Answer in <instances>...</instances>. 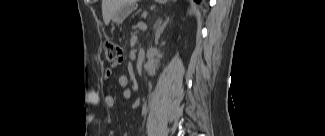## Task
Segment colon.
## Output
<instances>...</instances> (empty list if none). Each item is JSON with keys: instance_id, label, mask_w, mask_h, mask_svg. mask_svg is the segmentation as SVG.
<instances>
[{"instance_id": "colon-1", "label": "colon", "mask_w": 325, "mask_h": 136, "mask_svg": "<svg viewBox=\"0 0 325 136\" xmlns=\"http://www.w3.org/2000/svg\"><path fill=\"white\" fill-rule=\"evenodd\" d=\"M105 57L108 61H117L121 58V47L114 42H106L104 45Z\"/></svg>"}]
</instances>
